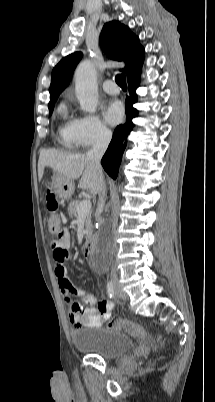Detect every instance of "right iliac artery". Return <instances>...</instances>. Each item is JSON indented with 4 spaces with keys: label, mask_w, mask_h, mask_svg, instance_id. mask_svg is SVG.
<instances>
[{
    "label": "right iliac artery",
    "mask_w": 215,
    "mask_h": 402,
    "mask_svg": "<svg viewBox=\"0 0 215 402\" xmlns=\"http://www.w3.org/2000/svg\"><path fill=\"white\" fill-rule=\"evenodd\" d=\"M107 293H108L109 298H114L115 291H114V284L112 281H109L107 283Z\"/></svg>",
    "instance_id": "82829eb1"
}]
</instances>
